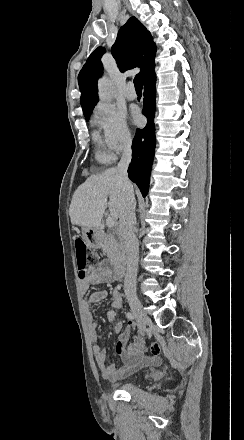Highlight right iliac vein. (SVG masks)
I'll return each mask as SVG.
<instances>
[{
  "mask_svg": "<svg viewBox=\"0 0 244 440\" xmlns=\"http://www.w3.org/2000/svg\"><path fill=\"white\" fill-rule=\"evenodd\" d=\"M128 303L131 307L132 312L136 315L139 322V333L142 337L146 331V325L150 322L149 317L146 315L142 308V304L136 295H129L127 297Z\"/></svg>",
  "mask_w": 244,
  "mask_h": 440,
  "instance_id": "right-iliac-vein-1",
  "label": "right iliac vein"
}]
</instances>
